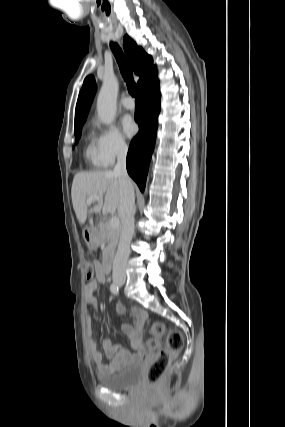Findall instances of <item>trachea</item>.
I'll return each instance as SVG.
<instances>
[{
	"label": "trachea",
	"mask_w": 285,
	"mask_h": 427,
	"mask_svg": "<svg viewBox=\"0 0 285 427\" xmlns=\"http://www.w3.org/2000/svg\"><path fill=\"white\" fill-rule=\"evenodd\" d=\"M111 50L117 60L121 74L127 84L128 92L133 96L137 97V85L133 79V73L125 59V56L117 43H110Z\"/></svg>",
	"instance_id": "3493384b"
}]
</instances>
